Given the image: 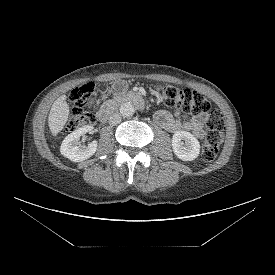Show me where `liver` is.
Masks as SVG:
<instances>
[{
  "instance_id": "liver-1",
  "label": "liver",
  "mask_w": 275,
  "mask_h": 275,
  "mask_svg": "<svg viewBox=\"0 0 275 275\" xmlns=\"http://www.w3.org/2000/svg\"><path fill=\"white\" fill-rule=\"evenodd\" d=\"M69 112L66 95L63 94L54 101L48 116V125L53 136H57L63 129L69 118Z\"/></svg>"
}]
</instances>
